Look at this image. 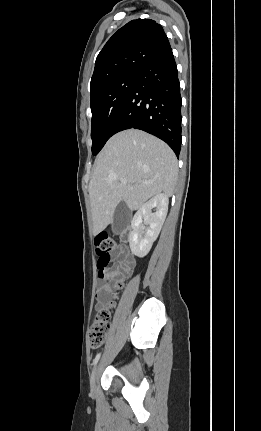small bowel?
Segmentation results:
<instances>
[{
	"instance_id": "small-bowel-1",
	"label": "small bowel",
	"mask_w": 261,
	"mask_h": 431,
	"mask_svg": "<svg viewBox=\"0 0 261 431\" xmlns=\"http://www.w3.org/2000/svg\"><path fill=\"white\" fill-rule=\"evenodd\" d=\"M115 257L119 259L118 265L105 268L102 275L98 273L97 289H96V309L102 310L110 303L111 297L114 295V285L119 280L120 270L119 265L124 269H131L134 264V258L126 248H118Z\"/></svg>"
}]
</instances>
